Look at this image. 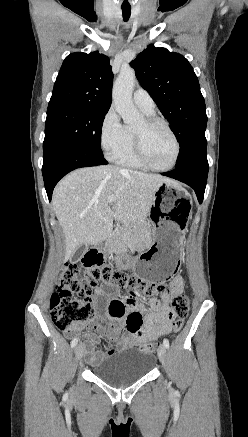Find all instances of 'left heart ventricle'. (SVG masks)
I'll return each mask as SVG.
<instances>
[{"label": "left heart ventricle", "mask_w": 248, "mask_h": 437, "mask_svg": "<svg viewBox=\"0 0 248 437\" xmlns=\"http://www.w3.org/2000/svg\"><path fill=\"white\" fill-rule=\"evenodd\" d=\"M134 132L142 136L145 154L152 165L156 167L170 165L175 154V143L163 126L147 128L143 120Z\"/></svg>", "instance_id": "left-heart-ventricle-1"}]
</instances>
